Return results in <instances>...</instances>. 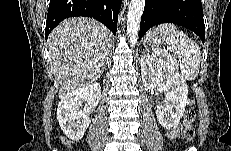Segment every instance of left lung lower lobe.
I'll return each mask as SVG.
<instances>
[{
    "instance_id": "obj_1",
    "label": "left lung lower lobe",
    "mask_w": 231,
    "mask_h": 151,
    "mask_svg": "<svg viewBox=\"0 0 231 151\" xmlns=\"http://www.w3.org/2000/svg\"><path fill=\"white\" fill-rule=\"evenodd\" d=\"M174 23L195 32L205 40V25L201 0H146L140 23L139 39L151 27Z\"/></svg>"
}]
</instances>
